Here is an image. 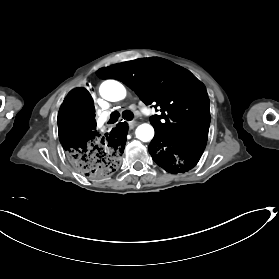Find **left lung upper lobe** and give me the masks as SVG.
Returning a JSON list of instances; mask_svg holds the SVG:
<instances>
[{
  "label": "left lung upper lobe",
  "instance_id": "1",
  "mask_svg": "<svg viewBox=\"0 0 279 279\" xmlns=\"http://www.w3.org/2000/svg\"><path fill=\"white\" fill-rule=\"evenodd\" d=\"M101 79H117L146 104L160 106L150 122L156 133L179 140L207 141L210 125L206 89L193 76L164 59L142 58L101 68Z\"/></svg>",
  "mask_w": 279,
  "mask_h": 279
}]
</instances>
